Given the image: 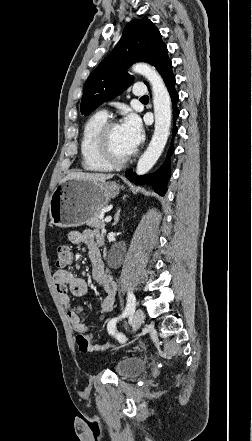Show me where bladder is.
<instances>
[{
  "label": "bladder",
  "mask_w": 252,
  "mask_h": 441,
  "mask_svg": "<svg viewBox=\"0 0 252 441\" xmlns=\"http://www.w3.org/2000/svg\"><path fill=\"white\" fill-rule=\"evenodd\" d=\"M146 368V361L141 357H126L116 363V373L122 378H133Z\"/></svg>",
  "instance_id": "1"
}]
</instances>
